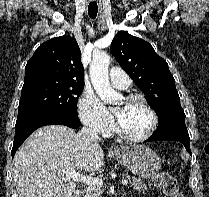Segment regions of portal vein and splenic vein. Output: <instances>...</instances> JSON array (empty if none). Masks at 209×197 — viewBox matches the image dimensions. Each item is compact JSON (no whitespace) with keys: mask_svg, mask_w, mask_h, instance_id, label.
Listing matches in <instances>:
<instances>
[{"mask_svg":"<svg viewBox=\"0 0 209 197\" xmlns=\"http://www.w3.org/2000/svg\"><path fill=\"white\" fill-rule=\"evenodd\" d=\"M66 177L69 179H72L74 181H80V182H84L88 185H102L103 184V180L98 178V177H91V176H86L83 174H80L79 172H76V170H66ZM123 185H127L128 181L127 180H123L122 181Z\"/></svg>","mask_w":209,"mask_h":197,"instance_id":"1","label":"portal vein and splenic vein"}]
</instances>
